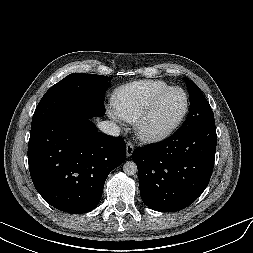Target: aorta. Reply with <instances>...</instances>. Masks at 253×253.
I'll return each instance as SVG.
<instances>
[{"mask_svg": "<svg viewBox=\"0 0 253 253\" xmlns=\"http://www.w3.org/2000/svg\"><path fill=\"white\" fill-rule=\"evenodd\" d=\"M137 170H138L137 165L133 161H127L123 165V171L128 176H132L136 174Z\"/></svg>", "mask_w": 253, "mask_h": 253, "instance_id": "aorta-1", "label": "aorta"}]
</instances>
